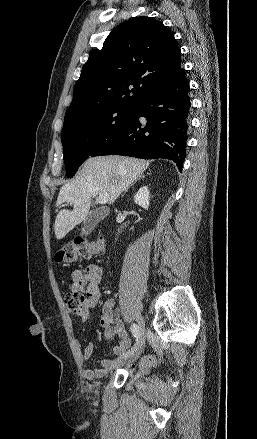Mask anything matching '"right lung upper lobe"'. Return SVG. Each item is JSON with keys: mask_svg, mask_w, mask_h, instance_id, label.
Listing matches in <instances>:
<instances>
[{"mask_svg": "<svg viewBox=\"0 0 257 439\" xmlns=\"http://www.w3.org/2000/svg\"><path fill=\"white\" fill-rule=\"evenodd\" d=\"M180 55L162 22L141 16L120 24L90 53L64 121L110 106L136 108L181 69Z\"/></svg>", "mask_w": 257, "mask_h": 439, "instance_id": "right-lung-upper-lobe-1", "label": "right lung upper lobe"}]
</instances>
